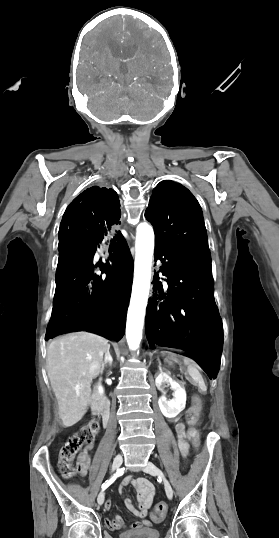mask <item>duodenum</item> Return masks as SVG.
Segmentation results:
<instances>
[{
    "instance_id": "duodenum-1",
    "label": "duodenum",
    "mask_w": 279,
    "mask_h": 538,
    "mask_svg": "<svg viewBox=\"0 0 279 538\" xmlns=\"http://www.w3.org/2000/svg\"><path fill=\"white\" fill-rule=\"evenodd\" d=\"M99 387H102V382H97V387H95V390H99ZM103 394H105V391H101V394L92 395V401L89 409L91 413L94 414V417H97L98 413H102L103 418H101L100 427L105 429L107 424L110 422V419L108 418V413H110V410H107L110 402L108 401V395Z\"/></svg>"
}]
</instances>
